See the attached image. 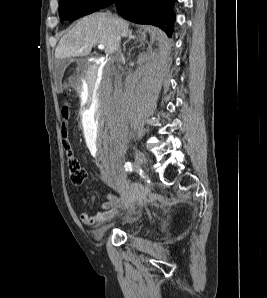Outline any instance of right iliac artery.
Returning <instances> with one entry per match:
<instances>
[{"label": "right iliac artery", "mask_w": 267, "mask_h": 298, "mask_svg": "<svg viewBox=\"0 0 267 298\" xmlns=\"http://www.w3.org/2000/svg\"><path fill=\"white\" fill-rule=\"evenodd\" d=\"M128 170H129L130 172L132 171V168H131L130 163H128Z\"/></svg>", "instance_id": "obj_1"}]
</instances>
